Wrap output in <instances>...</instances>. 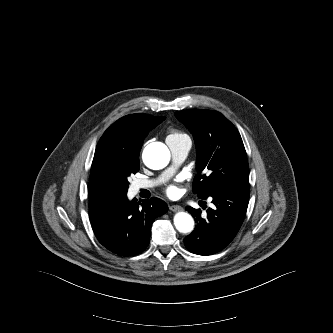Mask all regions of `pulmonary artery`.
I'll use <instances>...</instances> for the list:
<instances>
[{"label":"pulmonary artery","mask_w":333,"mask_h":333,"mask_svg":"<svg viewBox=\"0 0 333 333\" xmlns=\"http://www.w3.org/2000/svg\"><path fill=\"white\" fill-rule=\"evenodd\" d=\"M167 144L170 148L172 159L174 162V166L167 169L162 175H160L156 179H139L135 182V189H149L157 186L159 183L167 179L172 175V173L175 170V166L182 163L191 148V142L189 140L184 141H174V140H168Z\"/></svg>","instance_id":"e3ab8cb5"}]
</instances>
